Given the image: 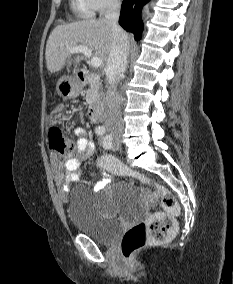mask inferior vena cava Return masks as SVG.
Wrapping results in <instances>:
<instances>
[{"label": "inferior vena cava", "mask_w": 233, "mask_h": 284, "mask_svg": "<svg viewBox=\"0 0 233 284\" xmlns=\"http://www.w3.org/2000/svg\"><path fill=\"white\" fill-rule=\"evenodd\" d=\"M120 0H109L104 19L112 26L113 44L106 64V76L109 87L106 94L107 112L105 127L113 134L123 131L124 122L121 114L122 96L117 84L127 68L130 44L126 32L119 26Z\"/></svg>", "instance_id": "inferior-vena-cava-1"}]
</instances>
